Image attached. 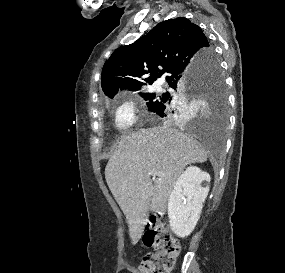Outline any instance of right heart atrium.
Here are the masks:
<instances>
[{
	"instance_id": "d8ad5b80",
	"label": "right heart atrium",
	"mask_w": 285,
	"mask_h": 273,
	"mask_svg": "<svg viewBox=\"0 0 285 273\" xmlns=\"http://www.w3.org/2000/svg\"><path fill=\"white\" fill-rule=\"evenodd\" d=\"M138 109L133 101H125L115 110V125L120 130L134 127L138 119Z\"/></svg>"
}]
</instances>
